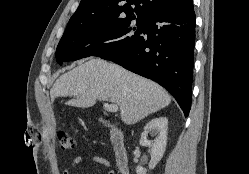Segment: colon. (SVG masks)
<instances>
[{
  "label": "colon",
  "mask_w": 249,
  "mask_h": 174,
  "mask_svg": "<svg viewBox=\"0 0 249 174\" xmlns=\"http://www.w3.org/2000/svg\"><path fill=\"white\" fill-rule=\"evenodd\" d=\"M58 139L63 150L70 151L75 148L74 140L67 131H60L58 134Z\"/></svg>",
  "instance_id": "obj_1"
}]
</instances>
